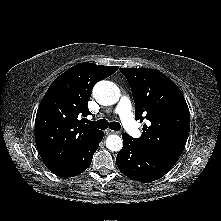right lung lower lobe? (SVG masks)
<instances>
[{"instance_id":"right-lung-lower-lobe-1","label":"right lung lower lobe","mask_w":221,"mask_h":221,"mask_svg":"<svg viewBox=\"0 0 221 221\" xmlns=\"http://www.w3.org/2000/svg\"><path fill=\"white\" fill-rule=\"evenodd\" d=\"M103 135V131H100V133L75 158L67 164L51 170L52 173L59 177H72L84 172L90 166L93 154L98 149Z\"/></svg>"}]
</instances>
